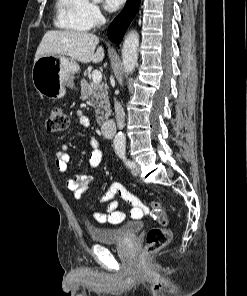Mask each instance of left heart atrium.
I'll return each instance as SVG.
<instances>
[{
    "instance_id": "obj_1",
    "label": "left heart atrium",
    "mask_w": 247,
    "mask_h": 296,
    "mask_svg": "<svg viewBox=\"0 0 247 296\" xmlns=\"http://www.w3.org/2000/svg\"><path fill=\"white\" fill-rule=\"evenodd\" d=\"M105 7L109 11L117 10L124 2V0H104Z\"/></svg>"
}]
</instances>
